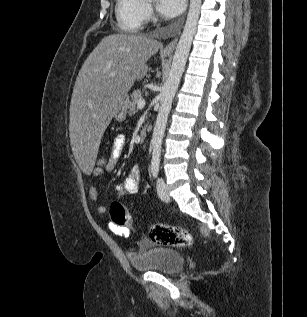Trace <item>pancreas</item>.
Returning a JSON list of instances; mask_svg holds the SVG:
<instances>
[{
	"mask_svg": "<svg viewBox=\"0 0 307 317\" xmlns=\"http://www.w3.org/2000/svg\"><path fill=\"white\" fill-rule=\"evenodd\" d=\"M131 98H132V101H130L126 106L128 113L130 115L135 114L138 110V108L136 107V104L139 100L142 99L141 91L140 90L133 91V93L131 94Z\"/></svg>",
	"mask_w": 307,
	"mask_h": 317,
	"instance_id": "cf45deb5",
	"label": "pancreas"
}]
</instances>
